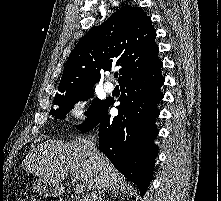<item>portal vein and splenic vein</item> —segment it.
<instances>
[{"label":"portal vein and splenic vein","instance_id":"1","mask_svg":"<svg viewBox=\"0 0 221 201\" xmlns=\"http://www.w3.org/2000/svg\"><path fill=\"white\" fill-rule=\"evenodd\" d=\"M74 191L77 195H81L84 192V186L81 183H76L74 187Z\"/></svg>","mask_w":221,"mask_h":201}]
</instances>
